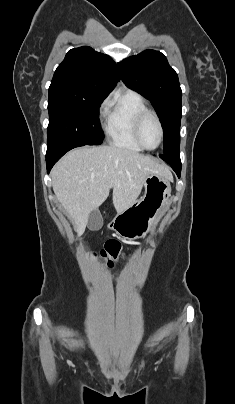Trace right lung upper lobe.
Segmentation results:
<instances>
[{"mask_svg": "<svg viewBox=\"0 0 235 404\" xmlns=\"http://www.w3.org/2000/svg\"><path fill=\"white\" fill-rule=\"evenodd\" d=\"M119 80L117 65L108 55L83 46L68 51L54 73L49 90L104 99Z\"/></svg>", "mask_w": 235, "mask_h": 404, "instance_id": "right-lung-upper-lobe-1", "label": "right lung upper lobe"}]
</instances>
